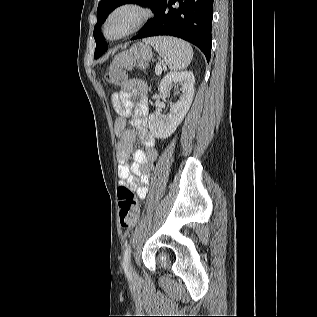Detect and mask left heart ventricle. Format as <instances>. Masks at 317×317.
Returning <instances> with one entry per match:
<instances>
[{
	"mask_svg": "<svg viewBox=\"0 0 317 317\" xmlns=\"http://www.w3.org/2000/svg\"><path fill=\"white\" fill-rule=\"evenodd\" d=\"M133 18V15L129 12H124L117 15L108 26V34L110 36L121 33L129 25Z\"/></svg>",
	"mask_w": 317,
	"mask_h": 317,
	"instance_id": "left-heart-ventricle-1",
	"label": "left heart ventricle"
}]
</instances>
